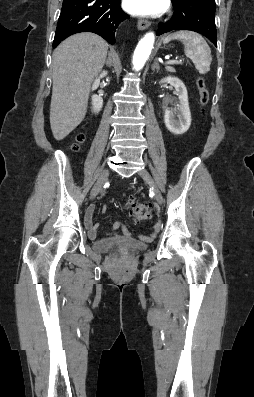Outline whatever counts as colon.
I'll use <instances>...</instances> for the list:
<instances>
[{"label":"colon","instance_id":"colon-1","mask_svg":"<svg viewBox=\"0 0 254 397\" xmlns=\"http://www.w3.org/2000/svg\"><path fill=\"white\" fill-rule=\"evenodd\" d=\"M197 87L200 96V104L202 106H206L209 101V92L206 88L204 79L202 77L197 78ZM83 141H84V135L82 133L77 134L75 137V141L72 145V148L74 150H77L79 146L83 143ZM127 203L129 206L130 213L136 220L142 221V220H149L152 218V209L149 205L139 203L131 197H128Z\"/></svg>","mask_w":254,"mask_h":397}]
</instances>
